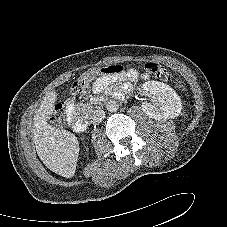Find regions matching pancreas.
I'll return each instance as SVG.
<instances>
[{"instance_id": "obj_1", "label": "pancreas", "mask_w": 227, "mask_h": 227, "mask_svg": "<svg viewBox=\"0 0 227 227\" xmlns=\"http://www.w3.org/2000/svg\"><path fill=\"white\" fill-rule=\"evenodd\" d=\"M92 106H91V104H83V103H80L79 105H78V110H81V111H83V112H90V111H92Z\"/></svg>"}]
</instances>
